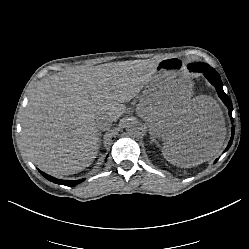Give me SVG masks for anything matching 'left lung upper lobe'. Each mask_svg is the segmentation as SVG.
Masks as SVG:
<instances>
[{
  "mask_svg": "<svg viewBox=\"0 0 249 249\" xmlns=\"http://www.w3.org/2000/svg\"><path fill=\"white\" fill-rule=\"evenodd\" d=\"M209 67L208 64L206 63H194V64H189L188 69L194 72H201V68Z\"/></svg>",
  "mask_w": 249,
  "mask_h": 249,
  "instance_id": "5c2ea615",
  "label": "left lung upper lobe"
}]
</instances>
